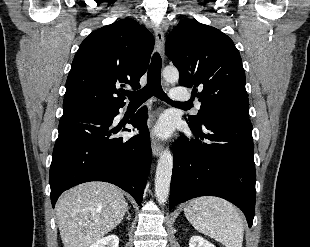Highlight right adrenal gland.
<instances>
[{
    "label": "right adrenal gland",
    "instance_id": "obj_1",
    "mask_svg": "<svg viewBox=\"0 0 310 247\" xmlns=\"http://www.w3.org/2000/svg\"><path fill=\"white\" fill-rule=\"evenodd\" d=\"M127 213H128L127 219L130 220V213H129L128 209H127Z\"/></svg>",
    "mask_w": 310,
    "mask_h": 247
}]
</instances>
